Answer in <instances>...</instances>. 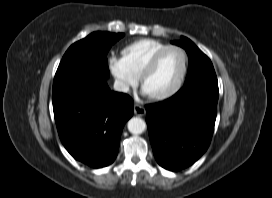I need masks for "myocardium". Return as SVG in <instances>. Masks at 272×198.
<instances>
[{"instance_id": "myocardium-1", "label": "myocardium", "mask_w": 272, "mask_h": 198, "mask_svg": "<svg viewBox=\"0 0 272 198\" xmlns=\"http://www.w3.org/2000/svg\"><path fill=\"white\" fill-rule=\"evenodd\" d=\"M170 50H178L179 52H181V54L183 56V70H182V73H181V76H180L178 82L170 91L163 93V94H159V95L149 96V98L154 101H163V100L169 99V98L173 97L174 95H176L182 89V87L185 83L186 77H187L188 55H187L186 51L180 46L168 45V46L158 50L152 56V58L149 60V62L146 64L144 69L142 70V72L139 76V82H140L141 87L143 86V82L146 79V77L149 76L155 70V68L157 67V65H158L159 61L161 60V58L163 57V55Z\"/></svg>"}]
</instances>
